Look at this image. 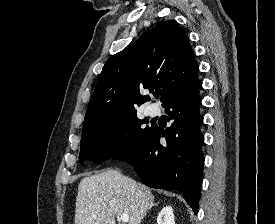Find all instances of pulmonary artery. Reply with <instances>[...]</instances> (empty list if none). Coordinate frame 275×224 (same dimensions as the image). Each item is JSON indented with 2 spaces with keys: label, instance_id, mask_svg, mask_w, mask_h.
I'll use <instances>...</instances> for the list:
<instances>
[{
  "label": "pulmonary artery",
  "instance_id": "obj_1",
  "mask_svg": "<svg viewBox=\"0 0 275 224\" xmlns=\"http://www.w3.org/2000/svg\"><path fill=\"white\" fill-rule=\"evenodd\" d=\"M147 113L151 116L155 115L157 113V110L154 106H150L147 108Z\"/></svg>",
  "mask_w": 275,
  "mask_h": 224
}]
</instances>
